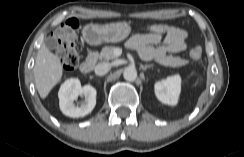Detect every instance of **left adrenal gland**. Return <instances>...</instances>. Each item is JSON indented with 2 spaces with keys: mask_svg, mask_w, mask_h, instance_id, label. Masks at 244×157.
Returning a JSON list of instances; mask_svg holds the SVG:
<instances>
[{
  "mask_svg": "<svg viewBox=\"0 0 244 157\" xmlns=\"http://www.w3.org/2000/svg\"><path fill=\"white\" fill-rule=\"evenodd\" d=\"M140 67H141L142 70L146 71L148 68H153V64L141 65Z\"/></svg>",
  "mask_w": 244,
  "mask_h": 157,
  "instance_id": "a2214340",
  "label": "left adrenal gland"
}]
</instances>
